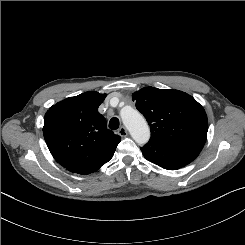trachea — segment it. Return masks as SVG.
Instances as JSON below:
<instances>
[{"instance_id":"trachea-1","label":"trachea","mask_w":245,"mask_h":245,"mask_svg":"<svg viewBox=\"0 0 245 245\" xmlns=\"http://www.w3.org/2000/svg\"><path fill=\"white\" fill-rule=\"evenodd\" d=\"M120 122L119 119L114 117L109 122V128L112 130H117L119 128Z\"/></svg>"}]
</instances>
